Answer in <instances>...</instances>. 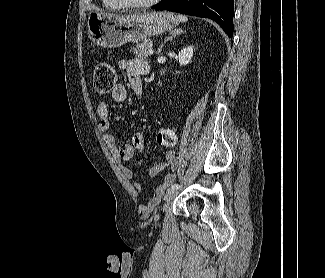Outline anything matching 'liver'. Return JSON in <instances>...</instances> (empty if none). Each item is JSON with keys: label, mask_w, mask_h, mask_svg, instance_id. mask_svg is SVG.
<instances>
[{"label": "liver", "mask_w": 325, "mask_h": 278, "mask_svg": "<svg viewBox=\"0 0 325 278\" xmlns=\"http://www.w3.org/2000/svg\"><path fill=\"white\" fill-rule=\"evenodd\" d=\"M108 15H112V16H115V15H113V14H108Z\"/></svg>", "instance_id": "6515ba94"}]
</instances>
